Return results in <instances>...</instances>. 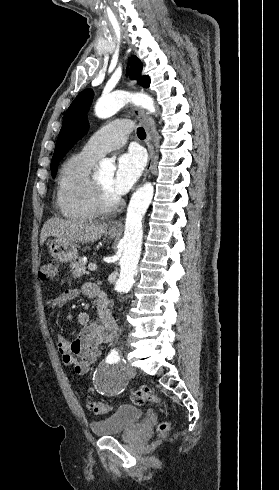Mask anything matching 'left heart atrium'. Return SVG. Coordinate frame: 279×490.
I'll return each mask as SVG.
<instances>
[{
	"label": "left heart atrium",
	"instance_id": "left-heart-atrium-1",
	"mask_svg": "<svg viewBox=\"0 0 279 490\" xmlns=\"http://www.w3.org/2000/svg\"><path fill=\"white\" fill-rule=\"evenodd\" d=\"M144 162L138 152L130 151L117 160V168L112 179L111 193L120 198L128 193L143 173Z\"/></svg>",
	"mask_w": 279,
	"mask_h": 490
}]
</instances>
